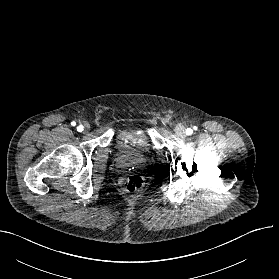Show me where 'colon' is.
Here are the masks:
<instances>
[{
    "label": "colon",
    "mask_w": 279,
    "mask_h": 279,
    "mask_svg": "<svg viewBox=\"0 0 279 279\" xmlns=\"http://www.w3.org/2000/svg\"><path fill=\"white\" fill-rule=\"evenodd\" d=\"M120 186L126 193L135 195L142 190L144 180L137 175L125 176L120 179Z\"/></svg>",
    "instance_id": "1"
}]
</instances>
